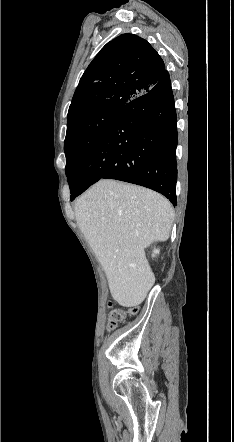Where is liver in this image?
Here are the masks:
<instances>
[{"instance_id": "liver-1", "label": "liver", "mask_w": 234, "mask_h": 442, "mask_svg": "<svg viewBox=\"0 0 234 442\" xmlns=\"http://www.w3.org/2000/svg\"><path fill=\"white\" fill-rule=\"evenodd\" d=\"M75 217L113 299L124 307L141 304L155 282L145 248L169 238L171 203L152 190L103 179L77 199Z\"/></svg>"}]
</instances>
